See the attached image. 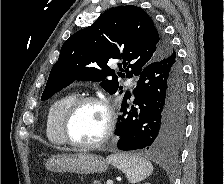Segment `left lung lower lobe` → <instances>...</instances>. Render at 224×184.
<instances>
[{"label":"left lung lower lobe","mask_w":224,"mask_h":184,"mask_svg":"<svg viewBox=\"0 0 224 184\" xmlns=\"http://www.w3.org/2000/svg\"><path fill=\"white\" fill-rule=\"evenodd\" d=\"M134 90V105L127 111L131 93L123 97L116 135L121 150L146 148L169 154L179 146L185 124L186 85L180 62L173 53L147 65Z\"/></svg>","instance_id":"obj_1"}]
</instances>
